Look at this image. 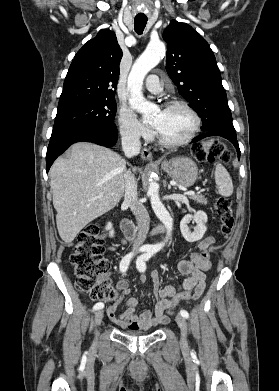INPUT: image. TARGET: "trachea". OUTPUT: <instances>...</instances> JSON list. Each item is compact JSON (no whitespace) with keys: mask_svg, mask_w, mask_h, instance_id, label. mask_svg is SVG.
Masks as SVG:
<instances>
[{"mask_svg":"<svg viewBox=\"0 0 279 391\" xmlns=\"http://www.w3.org/2000/svg\"><path fill=\"white\" fill-rule=\"evenodd\" d=\"M147 24V18H135L134 19V29H135V32L138 34V35H141L144 31V28Z\"/></svg>","mask_w":279,"mask_h":391,"instance_id":"trachea-1","label":"trachea"}]
</instances>
